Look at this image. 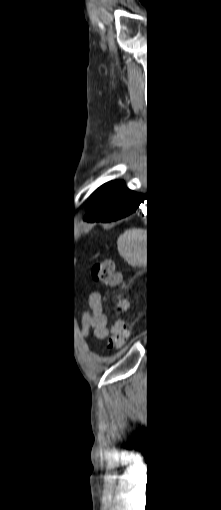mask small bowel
Instances as JSON below:
<instances>
[{
    "mask_svg": "<svg viewBox=\"0 0 221 510\" xmlns=\"http://www.w3.org/2000/svg\"><path fill=\"white\" fill-rule=\"evenodd\" d=\"M89 306L92 314H86L83 322V333L88 334L92 329L94 334L104 339L108 335L107 318L102 311V299L99 293H92L89 297Z\"/></svg>",
    "mask_w": 221,
    "mask_h": 510,
    "instance_id": "c3829d8e",
    "label": "small bowel"
}]
</instances>
